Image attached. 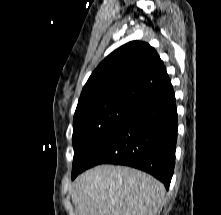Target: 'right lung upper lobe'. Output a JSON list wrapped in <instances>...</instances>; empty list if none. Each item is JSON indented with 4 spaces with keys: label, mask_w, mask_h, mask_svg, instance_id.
<instances>
[{
    "label": "right lung upper lobe",
    "mask_w": 221,
    "mask_h": 215,
    "mask_svg": "<svg viewBox=\"0 0 221 215\" xmlns=\"http://www.w3.org/2000/svg\"><path fill=\"white\" fill-rule=\"evenodd\" d=\"M171 85L153 47L131 41L108 55L86 82L78 106L117 100L137 104Z\"/></svg>",
    "instance_id": "obj_1"
}]
</instances>
